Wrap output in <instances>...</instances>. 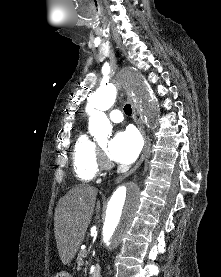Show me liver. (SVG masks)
<instances>
[{"label": "liver", "mask_w": 221, "mask_h": 277, "mask_svg": "<svg viewBox=\"0 0 221 277\" xmlns=\"http://www.w3.org/2000/svg\"><path fill=\"white\" fill-rule=\"evenodd\" d=\"M97 188L81 184L70 189L58 201L54 214V234L63 264L73 260L83 242L94 213ZM97 202L96 211L99 212Z\"/></svg>", "instance_id": "6515ba94"}]
</instances>
